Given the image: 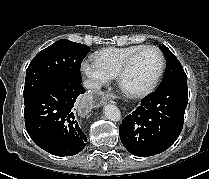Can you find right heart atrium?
<instances>
[{
	"label": "right heart atrium",
	"instance_id": "1",
	"mask_svg": "<svg viewBox=\"0 0 209 179\" xmlns=\"http://www.w3.org/2000/svg\"><path fill=\"white\" fill-rule=\"evenodd\" d=\"M83 73L92 81L94 87H99L108 82L109 78L104 75L94 62L84 61L81 65Z\"/></svg>",
	"mask_w": 209,
	"mask_h": 179
}]
</instances>
